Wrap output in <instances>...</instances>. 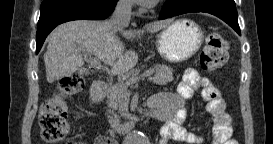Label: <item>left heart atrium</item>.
Listing matches in <instances>:
<instances>
[{"label": "left heart atrium", "mask_w": 273, "mask_h": 144, "mask_svg": "<svg viewBox=\"0 0 273 144\" xmlns=\"http://www.w3.org/2000/svg\"><path fill=\"white\" fill-rule=\"evenodd\" d=\"M138 3L144 5V6H154L157 2V0H137Z\"/></svg>", "instance_id": "39dd6f15"}]
</instances>
